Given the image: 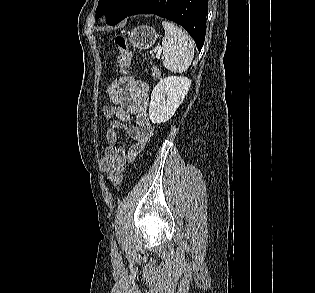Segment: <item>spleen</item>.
Listing matches in <instances>:
<instances>
[{
	"mask_svg": "<svg viewBox=\"0 0 315 293\" xmlns=\"http://www.w3.org/2000/svg\"><path fill=\"white\" fill-rule=\"evenodd\" d=\"M165 35L162 40L163 65L172 72L186 71L194 58V43L181 28L163 21Z\"/></svg>",
	"mask_w": 315,
	"mask_h": 293,
	"instance_id": "1",
	"label": "spleen"
}]
</instances>
